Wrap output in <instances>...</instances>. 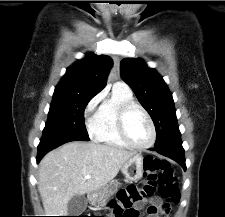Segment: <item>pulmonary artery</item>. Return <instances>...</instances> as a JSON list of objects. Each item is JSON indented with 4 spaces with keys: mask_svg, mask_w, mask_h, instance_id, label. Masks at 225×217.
<instances>
[{
    "mask_svg": "<svg viewBox=\"0 0 225 217\" xmlns=\"http://www.w3.org/2000/svg\"><path fill=\"white\" fill-rule=\"evenodd\" d=\"M115 86L130 90L129 86L123 81L116 82Z\"/></svg>",
    "mask_w": 225,
    "mask_h": 217,
    "instance_id": "e3ab8cb5",
    "label": "pulmonary artery"
}]
</instances>
